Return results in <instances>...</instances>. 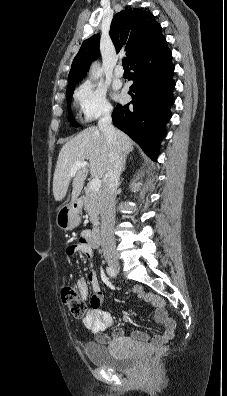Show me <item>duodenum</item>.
Instances as JSON below:
<instances>
[{
  "instance_id": "obj_1",
  "label": "duodenum",
  "mask_w": 227,
  "mask_h": 396,
  "mask_svg": "<svg viewBox=\"0 0 227 396\" xmlns=\"http://www.w3.org/2000/svg\"><path fill=\"white\" fill-rule=\"evenodd\" d=\"M83 204V201L81 198H78L75 202H74V207L75 208H80ZM92 239L93 242L99 246L102 243V233H101V229L99 227H94L92 230Z\"/></svg>"
}]
</instances>
